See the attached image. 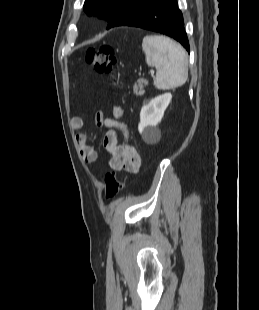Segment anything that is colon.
<instances>
[{
	"mask_svg": "<svg viewBox=\"0 0 259 310\" xmlns=\"http://www.w3.org/2000/svg\"><path fill=\"white\" fill-rule=\"evenodd\" d=\"M86 62L100 74L112 76L117 64L115 49L110 45H101L86 50ZM99 127V126H98ZM106 197L117 195L124 187V182L118 178L115 172L107 173L104 177Z\"/></svg>",
	"mask_w": 259,
	"mask_h": 310,
	"instance_id": "5ec220e1",
	"label": "colon"
}]
</instances>
